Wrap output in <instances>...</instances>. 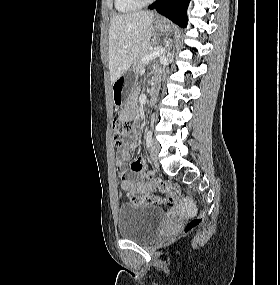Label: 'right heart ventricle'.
Listing matches in <instances>:
<instances>
[{
    "label": "right heart ventricle",
    "instance_id": "right-heart-ventricle-1",
    "mask_svg": "<svg viewBox=\"0 0 280 285\" xmlns=\"http://www.w3.org/2000/svg\"><path fill=\"white\" fill-rule=\"evenodd\" d=\"M114 7L119 13H130L138 10L141 4L135 0H114Z\"/></svg>",
    "mask_w": 280,
    "mask_h": 285
}]
</instances>
